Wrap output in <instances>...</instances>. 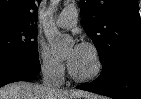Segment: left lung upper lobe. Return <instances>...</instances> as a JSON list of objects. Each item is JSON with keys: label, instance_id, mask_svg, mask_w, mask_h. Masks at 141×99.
I'll list each match as a JSON object with an SVG mask.
<instances>
[{"label": "left lung upper lobe", "instance_id": "left-lung-upper-lobe-1", "mask_svg": "<svg viewBox=\"0 0 141 99\" xmlns=\"http://www.w3.org/2000/svg\"><path fill=\"white\" fill-rule=\"evenodd\" d=\"M82 24L93 40L103 68L123 55L141 56L137 0H80Z\"/></svg>", "mask_w": 141, "mask_h": 99}]
</instances>
